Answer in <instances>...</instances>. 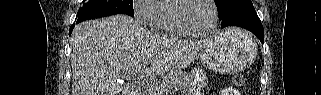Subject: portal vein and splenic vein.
<instances>
[{"label": "portal vein and splenic vein", "instance_id": "1", "mask_svg": "<svg viewBox=\"0 0 321 95\" xmlns=\"http://www.w3.org/2000/svg\"><path fill=\"white\" fill-rule=\"evenodd\" d=\"M142 68V66H139L132 74H131V78L134 80V82L136 84L139 85H146L148 87H152V88H157L161 85V82L158 80H154L152 78L149 77H140L138 76V71Z\"/></svg>", "mask_w": 321, "mask_h": 95}]
</instances>
